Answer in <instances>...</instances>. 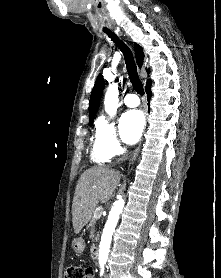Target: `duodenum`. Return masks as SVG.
<instances>
[{"instance_id": "duodenum-1", "label": "duodenum", "mask_w": 221, "mask_h": 278, "mask_svg": "<svg viewBox=\"0 0 221 278\" xmlns=\"http://www.w3.org/2000/svg\"><path fill=\"white\" fill-rule=\"evenodd\" d=\"M91 257L93 259L98 258V247H97V245L92 246V248H91Z\"/></svg>"}]
</instances>
